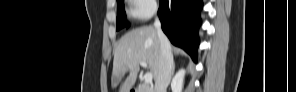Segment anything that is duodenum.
Masks as SVG:
<instances>
[{
	"mask_svg": "<svg viewBox=\"0 0 296 92\" xmlns=\"http://www.w3.org/2000/svg\"><path fill=\"white\" fill-rule=\"evenodd\" d=\"M130 92H144L139 86L130 89Z\"/></svg>",
	"mask_w": 296,
	"mask_h": 92,
	"instance_id": "duodenum-1",
	"label": "duodenum"
}]
</instances>
